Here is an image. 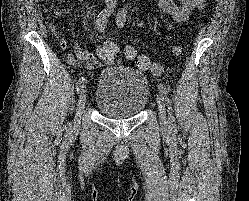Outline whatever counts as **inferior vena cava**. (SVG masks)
<instances>
[{
  "mask_svg": "<svg viewBox=\"0 0 249 201\" xmlns=\"http://www.w3.org/2000/svg\"><path fill=\"white\" fill-rule=\"evenodd\" d=\"M117 0H105L107 4H115Z\"/></svg>",
  "mask_w": 249,
  "mask_h": 201,
  "instance_id": "1",
  "label": "inferior vena cava"
}]
</instances>
